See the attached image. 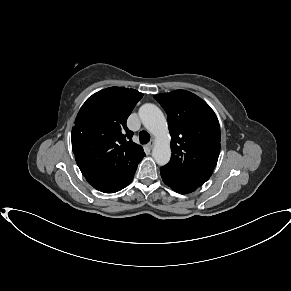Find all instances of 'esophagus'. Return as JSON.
I'll use <instances>...</instances> for the list:
<instances>
[{
	"label": "esophagus",
	"instance_id": "esophagus-1",
	"mask_svg": "<svg viewBox=\"0 0 291 291\" xmlns=\"http://www.w3.org/2000/svg\"><path fill=\"white\" fill-rule=\"evenodd\" d=\"M153 146H154V141H153V140L150 141V142L147 144V147H148L149 149H152Z\"/></svg>",
	"mask_w": 291,
	"mask_h": 291
}]
</instances>
